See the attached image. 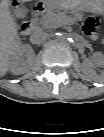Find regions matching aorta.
I'll return each mask as SVG.
<instances>
[{
    "label": "aorta",
    "instance_id": "aorta-1",
    "mask_svg": "<svg viewBox=\"0 0 104 137\" xmlns=\"http://www.w3.org/2000/svg\"><path fill=\"white\" fill-rule=\"evenodd\" d=\"M58 41H59L61 44L66 45V44L72 42L73 40H72V38H71L69 35H67V34H62V35L58 38Z\"/></svg>",
    "mask_w": 104,
    "mask_h": 137
}]
</instances>
